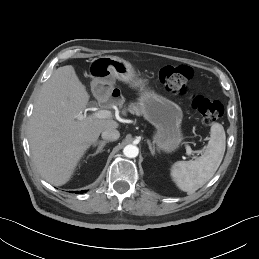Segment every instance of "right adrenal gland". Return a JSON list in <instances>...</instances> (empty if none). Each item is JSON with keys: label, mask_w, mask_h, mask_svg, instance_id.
Here are the masks:
<instances>
[{"label": "right adrenal gland", "mask_w": 259, "mask_h": 259, "mask_svg": "<svg viewBox=\"0 0 259 259\" xmlns=\"http://www.w3.org/2000/svg\"><path fill=\"white\" fill-rule=\"evenodd\" d=\"M109 143V141H97L93 144V147H96L97 146V150L93 153V154H90L89 156H96L98 153H100L104 146Z\"/></svg>", "instance_id": "2a0ac1e0"}]
</instances>
